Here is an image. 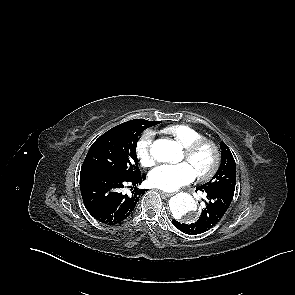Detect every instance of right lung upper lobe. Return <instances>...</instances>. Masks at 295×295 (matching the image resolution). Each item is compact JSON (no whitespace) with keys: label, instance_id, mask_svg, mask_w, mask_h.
I'll use <instances>...</instances> for the list:
<instances>
[{"label":"right lung upper lobe","instance_id":"1","mask_svg":"<svg viewBox=\"0 0 295 295\" xmlns=\"http://www.w3.org/2000/svg\"><path fill=\"white\" fill-rule=\"evenodd\" d=\"M133 120H134V119H133ZM133 120H130V121H128V122H125V123H122V124H120V125L129 124V123H131Z\"/></svg>","mask_w":295,"mask_h":295}]
</instances>
